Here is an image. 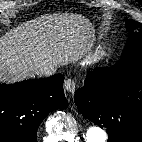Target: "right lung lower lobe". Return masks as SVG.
<instances>
[{
    "instance_id": "1",
    "label": "right lung lower lobe",
    "mask_w": 142,
    "mask_h": 142,
    "mask_svg": "<svg viewBox=\"0 0 142 142\" xmlns=\"http://www.w3.org/2000/svg\"><path fill=\"white\" fill-rule=\"evenodd\" d=\"M64 77L0 84V142H36L37 129L49 112L66 109Z\"/></svg>"
}]
</instances>
